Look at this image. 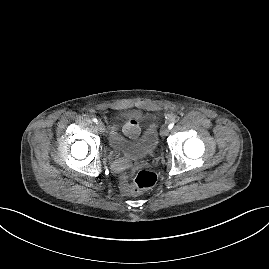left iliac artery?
<instances>
[{
	"instance_id": "left-iliac-artery-1",
	"label": "left iliac artery",
	"mask_w": 269,
	"mask_h": 269,
	"mask_svg": "<svg viewBox=\"0 0 269 269\" xmlns=\"http://www.w3.org/2000/svg\"><path fill=\"white\" fill-rule=\"evenodd\" d=\"M174 126V122H171L169 125H168V129H172Z\"/></svg>"
}]
</instances>
